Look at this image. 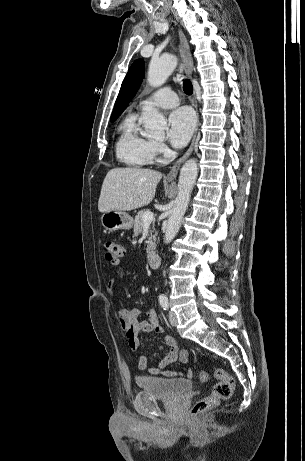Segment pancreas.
Here are the masks:
<instances>
[{
    "label": "pancreas",
    "instance_id": "1",
    "mask_svg": "<svg viewBox=\"0 0 305 461\" xmlns=\"http://www.w3.org/2000/svg\"><path fill=\"white\" fill-rule=\"evenodd\" d=\"M146 212H149V210L148 209L141 210L135 216L134 223H133L134 224V236H137L138 234L142 233L143 226H144L143 215ZM155 239H156V235L152 236V231H150V234H149V237H148V240H147V244H148L147 253H150L151 250H153L155 248Z\"/></svg>",
    "mask_w": 305,
    "mask_h": 461
}]
</instances>
